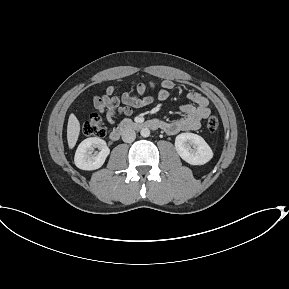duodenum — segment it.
<instances>
[{"mask_svg":"<svg viewBox=\"0 0 289 289\" xmlns=\"http://www.w3.org/2000/svg\"><path fill=\"white\" fill-rule=\"evenodd\" d=\"M160 127H161L160 122L155 119L147 121L124 120L110 132V138L116 141L122 135L131 130H141L144 128L156 130L159 129Z\"/></svg>","mask_w":289,"mask_h":289,"instance_id":"obj_1","label":"duodenum"}]
</instances>
